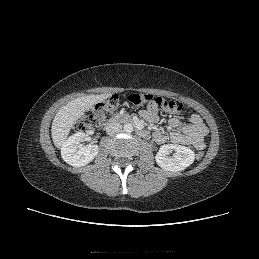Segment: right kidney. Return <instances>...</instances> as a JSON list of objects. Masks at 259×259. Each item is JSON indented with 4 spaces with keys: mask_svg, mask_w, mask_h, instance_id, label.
<instances>
[{
    "mask_svg": "<svg viewBox=\"0 0 259 259\" xmlns=\"http://www.w3.org/2000/svg\"><path fill=\"white\" fill-rule=\"evenodd\" d=\"M92 133L93 131L89 132V134ZM85 138L84 132H77L64 142L61 148V156L66 163L74 167L85 166L97 156L99 147L91 144L82 145L81 142Z\"/></svg>",
    "mask_w": 259,
    "mask_h": 259,
    "instance_id": "1",
    "label": "right kidney"
}]
</instances>
